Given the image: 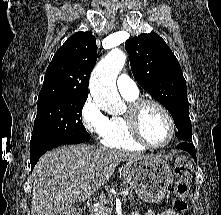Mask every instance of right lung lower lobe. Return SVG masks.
Masks as SVG:
<instances>
[{"label": "right lung lower lobe", "mask_w": 221, "mask_h": 215, "mask_svg": "<svg viewBox=\"0 0 221 215\" xmlns=\"http://www.w3.org/2000/svg\"><path fill=\"white\" fill-rule=\"evenodd\" d=\"M90 139V136H85L83 138H79V139H75V140H72V141H67V142H63V143H56V144H51V145H47V146H44L32 153H30V163H31V170L34 168L35 164L37 163L38 159L48 150H51L52 148L54 147H57L59 145H62V144H78V143H82V142H85L87 140Z\"/></svg>", "instance_id": "right-lung-lower-lobe-1"}]
</instances>
